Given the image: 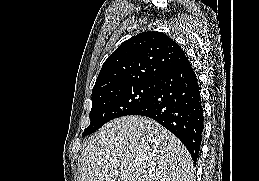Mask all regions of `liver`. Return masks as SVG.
Returning <instances> with one entry per match:
<instances>
[{"mask_svg": "<svg viewBox=\"0 0 259 181\" xmlns=\"http://www.w3.org/2000/svg\"><path fill=\"white\" fill-rule=\"evenodd\" d=\"M80 181H194L191 156L156 121L126 116L105 124L81 153Z\"/></svg>", "mask_w": 259, "mask_h": 181, "instance_id": "liver-1", "label": "liver"}]
</instances>
